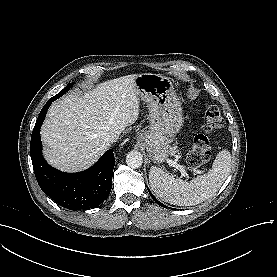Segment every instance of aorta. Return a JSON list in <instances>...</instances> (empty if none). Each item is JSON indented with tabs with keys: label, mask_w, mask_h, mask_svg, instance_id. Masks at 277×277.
Instances as JSON below:
<instances>
[{
	"label": "aorta",
	"mask_w": 277,
	"mask_h": 277,
	"mask_svg": "<svg viewBox=\"0 0 277 277\" xmlns=\"http://www.w3.org/2000/svg\"><path fill=\"white\" fill-rule=\"evenodd\" d=\"M126 164L133 169L141 167L143 164L142 154L137 150L130 151L126 156Z\"/></svg>",
	"instance_id": "aorta-1"
}]
</instances>
